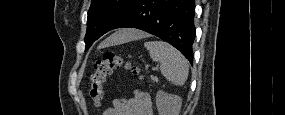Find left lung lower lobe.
Returning a JSON list of instances; mask_svg holds the SVG:
<instances>
[{
    "mask_svg": "<svg viewBox=\"0 0 285 115\" xmlns=\"http://www.w3.org/2000/svg\"><path fill=\"white\" fill-rule=\"evenodd\" d=\"M193 0H135L110 30L137 28L177 48L192 64L195 39Z\"/></svg>",
    "mask_w": 285,
    "mask_h": 115,
    "instance_id": "1",
    "label": "left lung lower lobe"
}]
</instances>
